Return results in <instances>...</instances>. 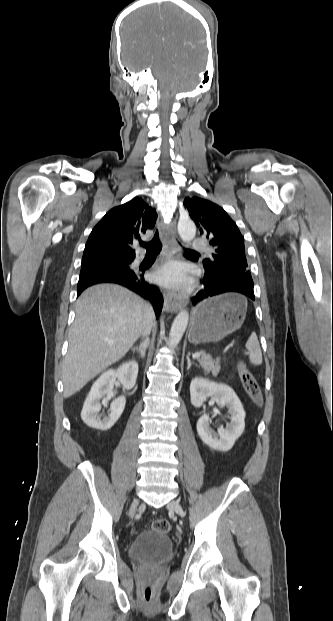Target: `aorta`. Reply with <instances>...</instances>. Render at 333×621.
Listing matches in <instances>:
<instances>
[{
  "label": "aorta",
  "instance_id": "1",
  "mask_svg": "<svg viewBox=\"0 0 333 621\" xmlns=\"http://www.w3.org/2000/svg\"><path fill=\"white\" fill-rule=\"evenodd\" d=\"M178 233L181 239L189 243L196 235V226L190 219H181L178 223ZM189 314L181 310L175 317L169 334V346L175 348L181 341L188 324Z\"/></svg>",
  "mask_w": 333,
  "mask_h": 621
}]
</instances>
